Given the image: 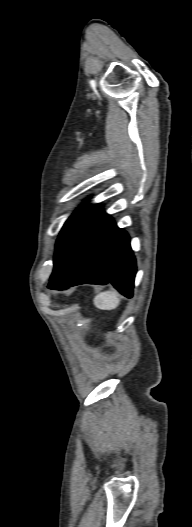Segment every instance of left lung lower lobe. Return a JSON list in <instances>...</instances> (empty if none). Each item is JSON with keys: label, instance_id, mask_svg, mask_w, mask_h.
<instances>
[{"label": "left lung lower lobe", "instance_id": "1", "mask_svg": "<svg viewBox=\"0 0 192 527\" xmlns=\"http://www.w3.org/2000/svg\"><path fill=\"white\" fill-rule=\"evenodd\" d=\"M136 263L128 234L97 208L54 263L48 288L107 284L132 297Z\"/></svg>", "mask_w": 192, "mask_h": 527}]
</instances>
